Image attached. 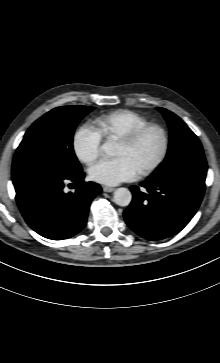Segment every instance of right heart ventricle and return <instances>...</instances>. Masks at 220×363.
I'll return each mask as SVG.
<instances>
[{
    "label": "right heart ventricle",
    "mask_w": 220,
    "mask_h": 363,
    "mask_svg": "<svg viewBox=\"0 0 220 363\" xmlns=\"http://www.w3.org/2000/svg\"><path fill=\"white\" fill-rule=\"evenodd\" d=\"M147 123L145 116L128 109L102 115L96 121L97 131L108 141H115Z\"/></svg>",
    "instance_id": "1"
}]
</instances>
